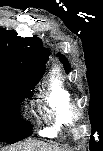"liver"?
<instances>
[{"label":"liver","instance_id":"obj_1","mask_svg":"<svg viewBox=\"0 0 103 151\" xmlns=\"http://www.w3.org/2000/svg\"><path fill=\"white\" fill-rule=\"evenodd\" d=\"M10 151H65L55 145L38 140H28L23 144L11 148Z\"/></svg>","mask_w":103,"mask_h":151}]
</instances>
